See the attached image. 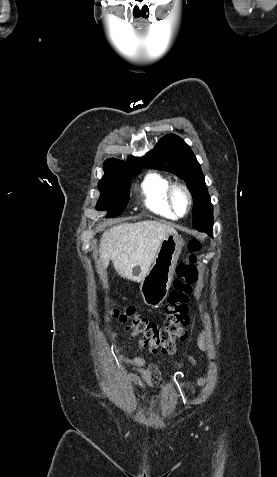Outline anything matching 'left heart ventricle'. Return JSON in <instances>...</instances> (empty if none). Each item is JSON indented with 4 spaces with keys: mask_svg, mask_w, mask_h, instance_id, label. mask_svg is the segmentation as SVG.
<instances>
[{
    "mask_svg": "<svg viewBox=\"0 0 277 477\" xmlns=\"http://www.w3.org/2000/svg\"><path fill=\"white\" fill-rule=\"evenodd\" d=\"M174 203L179 213H184L187 209V198L181 190H177L174 194Z\"/></svg>",
    "mask_w": 277,
    "mask_h": 477,
    "instance_id": "b2bd125f",
    "label": "left heart ventricle"
}]
</instances>
